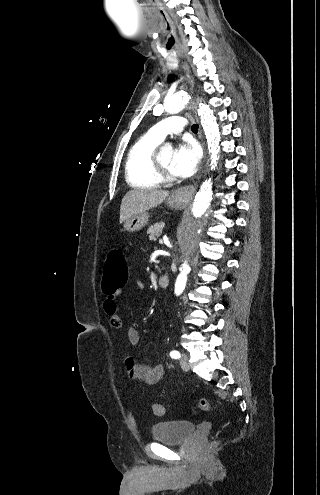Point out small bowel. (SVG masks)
I'll return each instance as SVG.
<instances>
[{
	"mask_svg": "<svg viewBox=\"0 0 320 495\" xmlns=\"http://www.w3.org/2000/svg\"><path fill=\"white\" fill-rule=\"evenodd\" d=\"M137 286L140 289L143 288V284L140 282H137ZM116 295L117 292L106 293L103 309L105 314L109 316L111 325L115 328H120L122 320L117 308ZM127 337L132 345H138L141 341V335L135 327L128 328ZM125 367L130 378L138 379L147 385L157 383L164 374V366L162 364L148 366L144 363L136 362L133 357H127L125 359Z\"/></svg>",
	"mask_w": 320,
	"mask_h": 495,
	"instance_id": "c3829d8e",
	"label": "small bowel"
}]
</instances>
